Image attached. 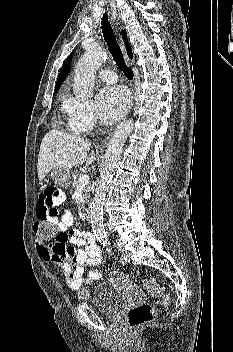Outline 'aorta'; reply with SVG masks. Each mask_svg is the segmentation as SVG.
Returning a JSON list of instances; mask_svg holds the SVG:
<instances>
[{"instance_id": "obj_1", "label": "aorta", "mask_w": 233, "mask_h": 352, "mask_svg": "<svg viewBox=\"0 0 233 352\" xmlns=\"http://www.w3.org/2000/svg\"><path fill=\"white\" fill-rule=\"evenodd\" d=\"M106 53L101 48H90L78 61L75 68L73 91L77 99L87 100L93 95L95 72L105 60ZM133 120L122 122L114 131L105 154V163L90 205V218L95 236L100 241L107 240L103 225V205L106 191L111 182L116 165L121 158L127 137L133 131Z\"/></svg>"}]
</instances>
